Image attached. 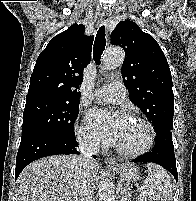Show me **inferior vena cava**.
<instances>
[{"instance_id": "602c4592", "label": "inferior vena cava", "mask_w": 196, "mask_h": 201, "mask_svg": "<svg viewBox=\"0 0 196 201\" xmlns=\"http://www.w3.org/2000/svg\"><path fill=\"white\" fill-rule=\"evenodd\" d=\"M79 150L81 155L73 160L75 164V176L78 180L76 186V201H93L92 192L87 185L82 186V181L87 177V169L91 163L92 155L99 152V145L88 138H79Z\"/></svg>"}]
</instances>
